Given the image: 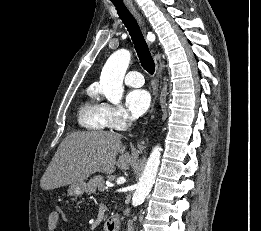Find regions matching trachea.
<instances>
[{"label":"trachea","instance_id":"obj_1","mask_svg":"<svg viewBox=\"0 0 261 231\" xmlns=\"http://www.w3.org/2000/svg\"><path fill=\"white\" fill-rule=\"evenodd\" d=\"M111 1L115 5L119 17L129 31L142 67L148 73L153 74L155 71V63L137 21L122 0Z\"/></svg>","mask_w":261,"mask_h":231}]
</instances>
